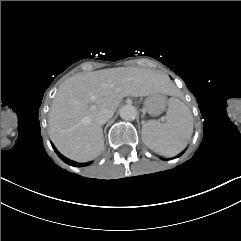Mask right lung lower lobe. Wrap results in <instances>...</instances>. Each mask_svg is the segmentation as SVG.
Listing matches in <instances>:
<instances>
[{
    "mask_svg": "<svg viewBox=\"0 0 241 241\" xmlns=\"http://www.w3.org/2000/svg\"><path fill=\"white\" fill-rule=\"evenodd\" d=\"M54 147V146H53ZM54 150L56 151L57 155L67 164L72 165V166H77V167H83V166H87L90 165L92 162H88V163H77L75 161L69 160L68 158L64 157L63 155H61L56 148H54Z\"/></svg>",
    "mask_w": 241,
    "mask_h": 241,
    "instance_id": "1",
    "label": "right lung lower lobe"
}]
</instances>
